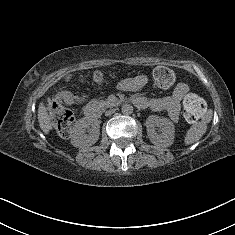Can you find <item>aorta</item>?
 <instances>
[{
  "mask_svg": "<svg viewBox=\"0 0 235 235\" xmlns=\"http://www.w3.org/2000/svg\"><path fill=\"white\" fill-rule=\"evenodd\" d=\"M121 111L124 115H130L133 113V106L131 104H123L121 107Z\"/></svg>",
  "mask_w": 235,
  "mask_h": 235,
  "instance_id": "1",
  "label": "aorta"
}]
</instances>
